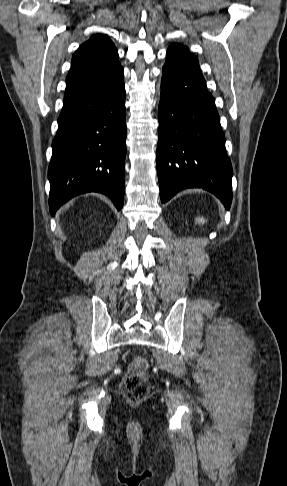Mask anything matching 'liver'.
<instances>
[{"instance_id": "6515ba94", "label": "liver", "mask_w": 287, "mask_h": 486, "mask_svg": "<svg viewBox=\"0 0 287 486\" xmlns=\"http://www.w3.org/2000/svg\"><path fill=\"white\" fill-rule=\"evenodd\" d=\"M72 204H73V201L69 202V203H68V204H67V205L64 207V209H68V208L70 207V205H72Z\"/></svg>"}]
</instances>
